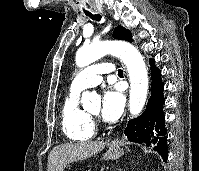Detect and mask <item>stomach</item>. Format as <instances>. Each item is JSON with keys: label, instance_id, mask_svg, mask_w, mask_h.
<instances>
[{"label": "stomach", "instance_id": "1", "mask_svg": "<svg viewBox=\"0 0 199 171\" xmlns=\"http://www.w3.org/2000/svg\"><path fill=\"white\" fill-rule=\"evenodd\" d=\"M124 150L121 146V144L113 142L109 144L108 149L106 153L103 155V159L109 160V159H118L121 156H123Z\"/></svg>", "mask_w": 199, "mask_h": 171}]
</instances>
